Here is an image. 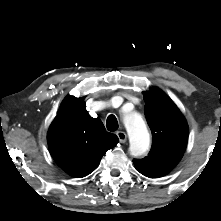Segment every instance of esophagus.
<instances>
[{
  "label": "esophagus",
  "mask_w": 221,
  "mask_h": 221,
  "mask_svg": "<svg viewBox=\"0 0 221 221\" xmlns=\"http://www.w3.org/2000/svg\"><path fill=\"white\" fill-rule=\"evenodd\" d=\"M116 135H117V137H118L120 143H125V142H126V140H127V135H126L125 132H123V131H118V132L116 133Z\"/></svg>",
  "instance_id": "34e87169"
}]
</instances>
